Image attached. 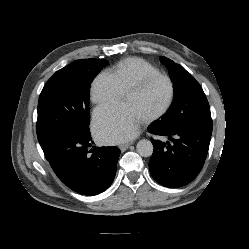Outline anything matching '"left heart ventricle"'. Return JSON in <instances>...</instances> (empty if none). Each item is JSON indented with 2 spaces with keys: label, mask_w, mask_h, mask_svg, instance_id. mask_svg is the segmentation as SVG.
<instances>
[{
  "label": "left heart ventricle",
  "mask_w": 249,
  "mask_h": 249,
  "mask_svg": "<svg viewBox=\"0 0 249 249\" xmlns=\"http://www.w3.org/2000/svg\"><path fill=\"white\" fill-rule=\"evenodd\" d=\"M169 85L163 79L150 83L140 92L127 93L123 102L130 105L141 119L158 112L167 102Z\"/></svg>",
  "instance_id": "left-heart-ventricle-1"
}]
</instances>
